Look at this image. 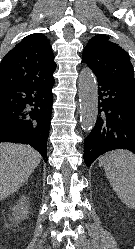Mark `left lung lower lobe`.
<instances>
[{
    "mask_svg": "<svg viewBox=\"0 0 135 249\" xmlns=\"http://www.w3.org/2000/svg\"><path fill=\"white\" fill-rule=\"evenodd\" d=\"M97 82V120L84 142L87 167L111 150L135 153V88L101 78Z\"/></svg>",
    "mask_w": 135,
    "mask_h": 249,
    "instance_id": "left-lung-lower-lobe-1",
    "label": "left lung lower lobe"
}]
</instances>
